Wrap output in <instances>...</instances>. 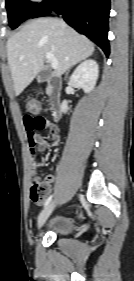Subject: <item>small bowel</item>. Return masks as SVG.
<instances>
[{
    "mask_svg": "<svg viewBox=\"0 0 134 281\" xmlns=\"http://www.w3.org/2000/svg\"><path fill=\"white\" fill-rule=\"evenodd\" d=\"M24 127L27 132L30 155H31V171L32 175H36L39 168L45 165L44 159L37 158V151L43 152L48 148L47 141L39 134L40 131L48 128L51 135L52 146H57L60 143L61 135L58 127L48 121L41 115L36 113L26 114L23 117ZM56 180L54 174H49L45 177V183L50 186Z\"/></svg>",
    "mask_w": 134,
    "mask_h": 281,
    "instance_id": "1",
    "label": "small bowel"
}]
</instances>
